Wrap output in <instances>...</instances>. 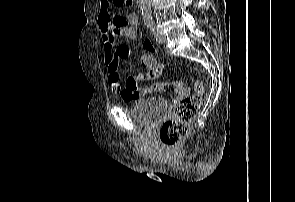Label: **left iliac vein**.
Listing matches in <instances>:
<instances>
[{
  "instance_id": "4c4485c4",
  "label": "left iliac vein",
  "mask_w": 295,
  "mask_h": 202,
  "mask_svg": "<svg viewBox=\"0 0 295 202\" xmlns=\"http://www.w3.org/2000/svg\"><path fill=\"white\" fill-rule=\"evenodd\" d=\"M153 34L155 37L156 42L163 44L166 40L165 36L155 27H153Z\"/></svg>"
}]
</instances>
